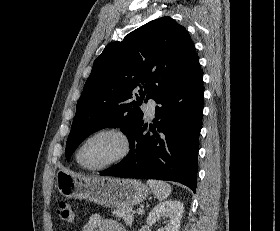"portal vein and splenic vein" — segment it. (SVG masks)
<instances>
[{
  "mask_svg": "<svg viewBox=\"0 0 280 231\" xmlns=\"http://www.w3.org/2000/svg\"><path fill=\"white\" fill-rule=\"evenodd\" d=\"M139 213H143V209H138Z\"/></svg>",
  "mask_w": 280,
  "mask_h": 231,
  "instance_id": "1",
  "label": "portal vein and splenic vein"
}]
</instances>
